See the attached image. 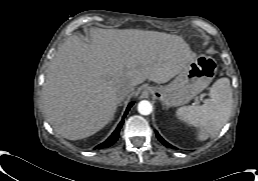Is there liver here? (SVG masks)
Instances as JSON below:
<instances>
[{
	"instance_id": "liver-1",
	"label": "liver",
	"mask_w": 258,
	"mask_h": 181,
	"mask_svg": "<svg viewBox=\"0 0 258 181\" xmlns=\"http://www.w3.org/2000/svg\"><path fill=\"white\" fill-rule=\"evenodd\" d=\"M92 43L69 37L51 60L43 112L69 140L95 134L114 117L119 92L146 79L165 83L196 58L177 35L135 29H92Z\"/></svg>"
}]
</instances>
